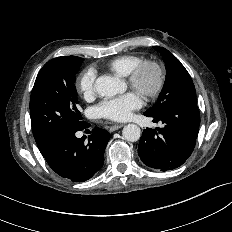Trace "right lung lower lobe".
Masks as SVG:
<instances>
[{
  "instance_id": "right-lung-lower-lobe-1",
  "label": "right lung lower lobe",
  "mask_w": 232,
  "mask_h": 232,
  "mask_svg": "<svg viewBox=\"0 0 232 232\" xmlns=\"http://www.w3.org/2000/svg\"><path fill=\"white\" fill-rule=\"evenodd\" d=\"M76 132L63 135L56 140L44 158L59 176L74 182H83L102 167L110 134L96 127L85 142L86 137L77 138Z\"/></svg>"
}]
</instances>
